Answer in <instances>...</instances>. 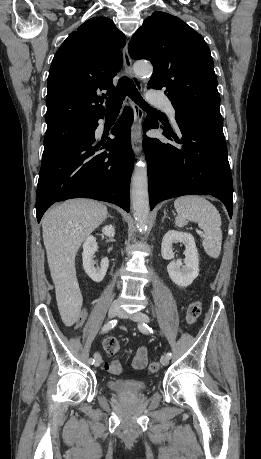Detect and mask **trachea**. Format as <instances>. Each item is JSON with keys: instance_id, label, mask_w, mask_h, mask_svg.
<instances>
[{"instance_id": "trachea-1", "label": "trachea", "mask_w": 261, "mask_h": 459, "mask_svg": "<svg viewBox=\"0 0 261 459\" xmlns=\"http://www.w3.org/2000/svg\"><path fill=\"white\" fill-rule=\"evenodd\" d=\"M128 95L137 105L147 111H155L154 108L150 107L144 99L141 97L137 88L135 87L132 80L126 76L122 77L118 81V86L115 92L107 99L106 106L109 111L120 110L124 97Z\"/></svg>"}]
</instances>
